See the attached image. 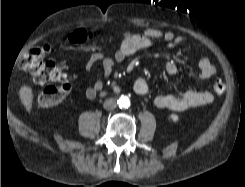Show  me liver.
<instances>
[{"instance_id": "6515ba94", "label": "liver", "mask_w": 245, "mask_h": 187, "mask_svg": "<svg viewBox=\"0 0 245 187\" xmlns=\"http://www.w3.org/2000/svg\"><path fill=\"white\" fill-rule=\"evenodd\" d=\"M19 97L27 112H31L33 103V91L29 86H22L19 90Z\"/></svg>"}]
</instances>
